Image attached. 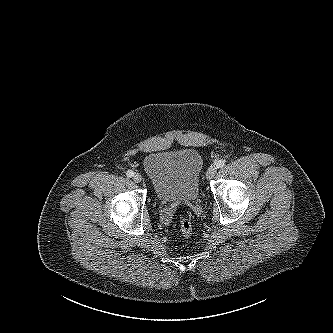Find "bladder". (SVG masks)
<instances>
[{
    "label": "bladder",
    "mask_w": 333,
    "mask_h": 333,
    "mask_svg": "<svg viewBox=\"0 0 333 333\" xmlns=\"http://www.w3.org/2000/svg\"><path fill=\"white\" fill-rule=\"evenodd\" d=\"M203 166L201 154L192 148L152 152L143 161L152 189L163 203L195 200Z\"/></svg>",
    "instance_id": "1"
}]
</instances>
